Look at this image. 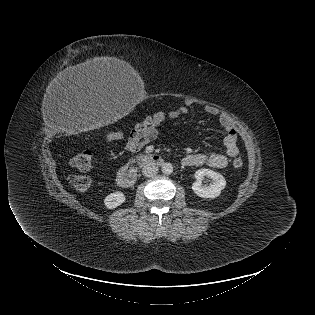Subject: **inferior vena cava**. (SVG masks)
<instances>
[{"mask_svg": "<svg viewBox=\"0 0 315 315\" xmlns=\"http://www.w3.org/2000/svg\"><path fill=\"white\" fill-rule=\"evenodd\" d=\"M142 173L146 177H152L158 173V167L153 163H147L143 166Z\"/></svg>", "mask_w": 315, "mask_h": 315, "instance_id": "inferior-vena-cava-1", "label": "inferior vena cava"}]
</instances>
